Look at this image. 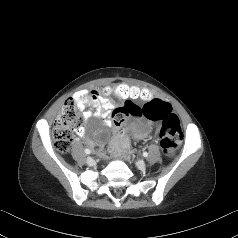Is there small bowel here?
I'll use <instances>...</instances> for the list:
<instances>
[{"instance_id":"c3829d8e","label":"small bowel","mask_w":238,"mask_h":238,"mask_svg":"<svg viewBox=\"0 0 238 238\" xmlns=\"http://www.w3.org/2000/svg\"><path fill=\"white\" fill-rule=\"evenodd\" d=\"M83 110V119L89 120L91 117L106 118L109 112L114 108V102L109 98L100 96L96 90L92 91H80L75 94L73 98ZM79 134L83 135V129L79 130ZM125 147L130 145L129 139L126 135H120Z\"/></svg>"}]
</instances>
